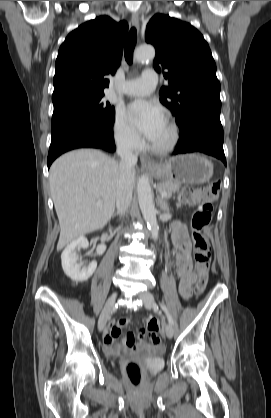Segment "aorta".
Instances as JSON below:
<instances>
[{
	"label": "aorta",
	"instance_id": "aorta-1",
	"mask_svg": "<svg viewBox=\"0 0 271 418\" xmlns=\"http://www.w3.org/2000/svg\"><path fill=\"white\" fill-rule=\"evenodd\" d=\"M154 57L155 49L152 46H141L135 52V59L138 62L152 60ZM137 195L143 218L151 231L152 238L155 240L158 237L156 208L153 202L151 186L145 175H142L137 182Z\"/></svg>",
	"mask_w": 271,
	"mask_h": 418
}]
</instances>
